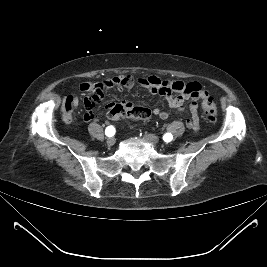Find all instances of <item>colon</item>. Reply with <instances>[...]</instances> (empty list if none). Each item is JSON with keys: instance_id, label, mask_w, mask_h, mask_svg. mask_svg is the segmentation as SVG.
Returning a JSON list of instances; mask_svg holds the SVG:
<instances>
[{"instance_id": "1", "label": "colon", "mask_w": 267, "mask_h": 267, "mask_svg": "<svg viewBox=\"0 0 267 267\" xmlns=\"http://www.w3.org/2000/svg\"><path fill=\"white\" fill-rule=\"evenodd\" d=\"M202 110L209 121L214 122L217 117V106L212 98H206L202 102ZM108 118L113 121L130 117L146 120L151 116V110L142 106H131L128 108L115 107L108 111Z\"/></svg>"}]
</instances>
